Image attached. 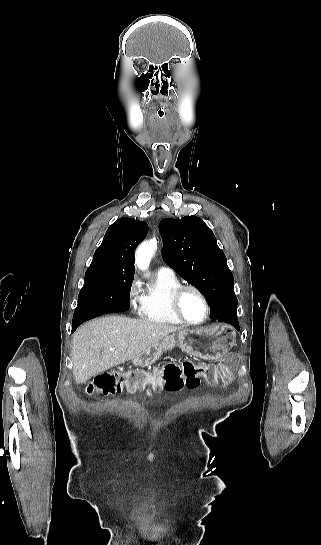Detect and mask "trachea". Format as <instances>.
Returning a JSON list of instances; mask_svg holds the SVG:
<instances>
[{
    "label": "trachea",
    "mask_w": 321,
    "mask_h": 545,
    "mask_svg": "<svg viewBox=\"0 0 321 545\" xmlns=\"http://www.w3.org/2000/svg\"><path fill=\"white\" fill-rule=\"evenodd\" d=\"M157 110V114L163 119L165 116L163 115L164 114V111L162 109H160L159 107L156 109Z\"/></svg>",
    "instance_id": "trachea-1"
}]
</instances>
